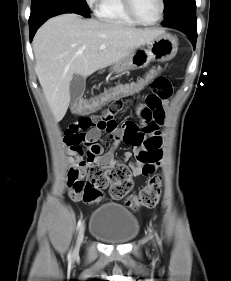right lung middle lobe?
I'll return each instance as SVG.
<instances>
[{"instance_id":"right-lung-middle-lobe-1","label":"right lung middle lobe","mask_w":231,"mask_h":281,"mask_svg":"<svg viewBox=\"0 0 231 281\" xmlns=\"http://www.w3.org/2000/svg\"><path fill=\"white\" fill-rule=\"evenodd\" d=\"M75 1L79 2L80 4H82L83 7L88 10V5L85 3L84 0H75ZM36 2H38V0H32V5H34Z\"/></svg>"}]
</instances>
